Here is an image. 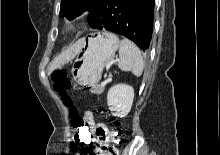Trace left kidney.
Masks as SVG:
<instances>
[{
  "label": "left kidney",
  "mask_w": 220,
  "mask_h": 155,
  "mask_svg": "<svg viewBox=\"0 0 220 155\" xmlns=\"http://www.w3.org/2000/svg\"><path fill=\"white\" fill-rule=\"evenodd\" d=\"M134 99V89L127 84H117L111 87L107 95L109 110L115 117H126L131 110Z\"/></svg>",
  "instance_id": "1"
}]
</instances>
